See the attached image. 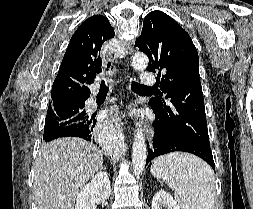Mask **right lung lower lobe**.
<instances>
[{"label": "right lung lower lobe", "mask_w": 253, "mask_h": 209, "mask_svg": "<svg viewBox=\"0 0 253 209\" xmlns=\"http://www.w3.org/2000/svg\"><path fill=\"white\" fill-rule=\"evenodd\" d=\"M95 124V115L92 117L89 116L86 121H81L62 127L56 131H49L48 133H44L43 141L49 142L60 137H79L87 141L94 142V139L97 135V132L94 129Z\"/></svg>", "instance_id": "1"}]
</instances>
